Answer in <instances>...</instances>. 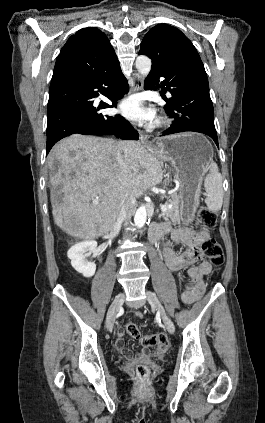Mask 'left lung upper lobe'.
<instances>
[{"instance_id":"5c2ea615","label":"left lung upper lobe","mask_w":265,"mask_h":423,"mask_svg":"<svg viewBox=\"0 0 265 423\" xmlns=\"http://www.w3.org/2000/svg\"><path fill=\"white\" fill-rule=\"evenodd\" d=\"M188 47L195 48L180 30L167 24H158L143 38L139 54L150 57L152 67H156Z\"/></svg>"}]
</instances>
